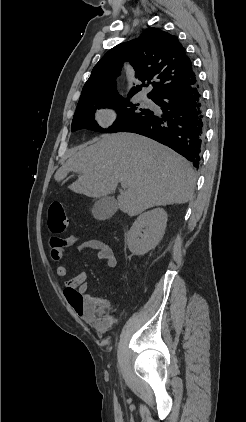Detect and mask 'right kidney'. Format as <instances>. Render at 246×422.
<instances>
[{"mask_svg": "<svg viewBox=\"0 0 246 422\" xmlns=\"http://www.w3.org/2000/svg\"><path fill=\"white\" fill-rule=\"evenodd\" d=\"M167 220V213L162 208L141 214L128 232L129 250L134 255L140 256L154 249L165 233Z\"/></svg>", "mask_w": 246, "mask_h": 422, "instance_id": "ca27d5eb", "label": "right kidney"}]
</instances>
